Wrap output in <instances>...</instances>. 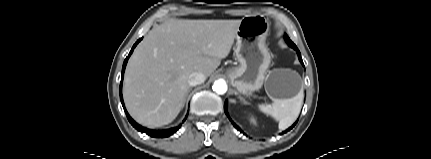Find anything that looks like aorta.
Returning a JSON list of instances; mask_svg holds the SVG:
<instances>
[{
	"instance_id": "obj_1",
	"label": "aorta",
	"mask_w": 431,
	"mask_h": 159,
	"mask_svg": "<svg viewBox=\"0 0 431 159\" xmlns=\"http://www.w3.org/2000/svg\"><path fill=\"white\" fill-rule=\"evenodd\" d=\"M212 89L217 94L222 95V94L226 93L228 87H227V84H226L225 80L219 79V80H216L214 82V84L212 86Z\"/></svg>"
}]
</instances>
